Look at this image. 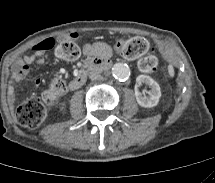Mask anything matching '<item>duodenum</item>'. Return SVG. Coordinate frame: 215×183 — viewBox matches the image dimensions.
Segmentation results:
<instances>
[{"label":"duodenum","instance_id":"obj_1","mask_svg":"<svg viewBox=\"0 0 215 183\" xmlns=\"http://www.w3.org/2000/svg\"><path fill=\"white\" fill-rule=\"evenodd\" d=\"M110 59L107 57L95 58L86 63L77 73V75L69 82V89L75 90L79 88L86 80L89 72L100 69H107L110 66Z\"/></svg>","mask_w":215,"mask_h":183}]
</instances>
